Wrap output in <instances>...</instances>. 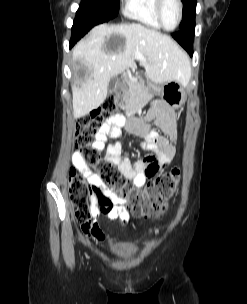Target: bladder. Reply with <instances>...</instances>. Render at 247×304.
I'll list each match as a JSON object with an SVG mask.
<instances>
[{"label": "bladder", "mask_w": 247, "mask_h": 304, "mask_svg": "<svg viewBox=\"0 0 247 304\" xmlns=\"http://www.w3.org/2000/svg\"><path fill=\"white\" fill-rule=\"evenodd\" d=\"M109 252L114 258L127 262L134 259L139 250L135 247L112 246L109 248Z\"/></svg>", "instance_id": "1"}]
</instances>
